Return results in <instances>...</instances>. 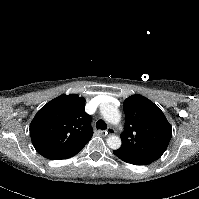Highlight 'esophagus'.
Wrapping results in <instances>:
<instances>
[{
	"instance_id": "esophagus-1",
	"label": "esophagus",
	"mask_w": 199,
	"mask_h": 199,
	"mask_svg": "<svg viewBox=\"0 0 199 199\" xmlns=\"http://www.w3.org/2000/svg\"><path fill=\"white\" fill-rule=\"evenodd\" d=\"M115 133V130L112 127H108L107 130L105 131V135H113Z\"/></svg>"
}]
</instances>
